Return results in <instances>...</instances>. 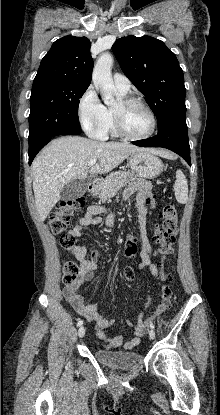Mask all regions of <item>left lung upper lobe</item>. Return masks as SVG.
<instances>
[{
	"instance_id": "obj_1",
	"label": "left lung upper lobe",
	"mask_w": 220,
	"mask_h": 415,
	"mask_svg": "<svg viewBox=\"0 0 220 415\" xmlns=\"http://www.w3.org/2000/svg\"><path fill=\"white\" fill-rule=\"evenodd\" d=\"M112 50L125 75L146 97L158 128L186 113L183 70L164 42L150 36H127L117 39Z\"/></svg>"
}]
</instances>
